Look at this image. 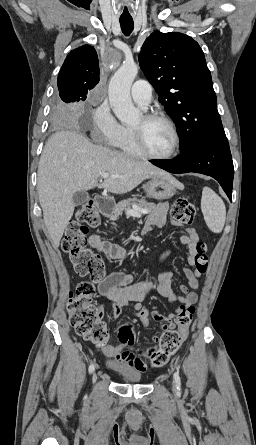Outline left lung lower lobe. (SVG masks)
Listing matches in <instances>:
<instances>
[{"label": "left lung lower lobe", "mask_w": 256, "mask_h": 445, "mask_svg": "<svg viewBox=\"0 0 256 445\" xmlns=\"http://www.w3.org/2000/svg\"><path fill=\"white\" fill-rule=\"evenodd\" d=\"M170 173L196 172L215 178L230 200L234 176L233 161L225 135L196 140L174 160H150Z\"/></svg>", "instance_id": "left-lung-lower-lobe-1"}]
</instances>
